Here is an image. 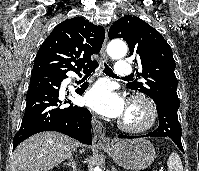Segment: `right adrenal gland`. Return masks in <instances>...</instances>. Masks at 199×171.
<instances>
[{"instance_id":"right-adrenal-gland-1","label":"right adrenal gland","mask_w":199,"mask_h":171,"mask_svg":"<svg viewBox=\"0 0 199 171\" xmlns=\"http://www.w3.org/2000/svg\"><path fill=\"white\" fill-rule=\"evenodd\" d=\"M64 164L70 166L72 171H77V162L73 159L72 154L69 156L68 162H65Z\"/></svg>"}]
</instances>
